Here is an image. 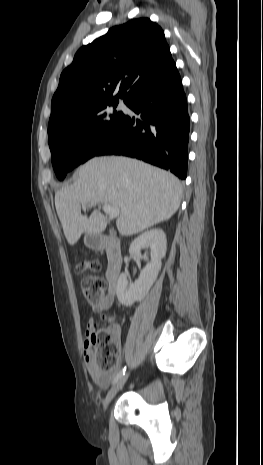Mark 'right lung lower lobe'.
Wrapping results in <instances>:
<instances>
[{
	"mask_svg": "<svg viewBox=\"0 0 263 465\" xmlns=\"http://www.w3.org/2000/svg\"><path fill=\"white\" fill-rule=\"evenodd\" d=\"M126 105L140 118L125 115L97 155H126L187 175L190 117L176 65L134 92Z\"/></svg>",
	"mask_w": 263,
	"mask_h": 465,
	"instance_id": "obj_1",
	"label": "right lung lower lobe"
}]
</instances>
